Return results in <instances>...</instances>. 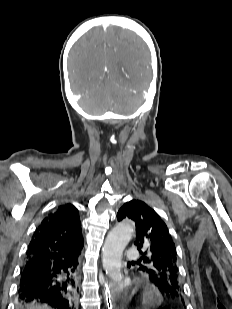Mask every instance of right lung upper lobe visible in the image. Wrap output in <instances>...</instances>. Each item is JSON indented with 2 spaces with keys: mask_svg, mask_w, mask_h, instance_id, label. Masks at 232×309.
Returning <instances> with one entry per match:
<instances>
[{
  "mask_svg": "<svg viewBox=\"0 0 232 309\" xmlns=\"http://www.w3.org/2000/svg\"><path fill=\"white\" fill-rule=\"evenodd\" d=\"M83 244L78 209L72 204L61 205L36 228L26 252V262L46 268L55 261H74Z\"/></svg>",
  "mask_w": 232,
  "mask_h": 309,
  "instance_id": "1",
  "label": "right lung upper lobe"
}]
</instances>
